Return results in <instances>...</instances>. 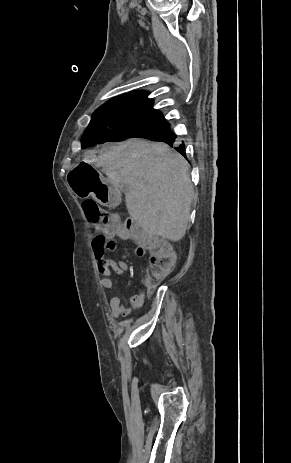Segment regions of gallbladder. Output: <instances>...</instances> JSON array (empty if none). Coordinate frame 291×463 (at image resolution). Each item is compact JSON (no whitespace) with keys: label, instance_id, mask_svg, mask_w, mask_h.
Listing matches in <instances>:
<instances>
[{"label":"gallbladder","instance_id":"obj_1","mask_svg":"<svg viewBox=\"0 0 291 463\" xmlns=\"http://www.w3.org/2000/svg\"><path fill=\"white\" fill-rule=\"evenodd\" d=\"M122 191L126 192V191H127V187L125 186L124 188H122Z\"/></svg>","mask_w":291,"mask_h":463}]
</instances>
